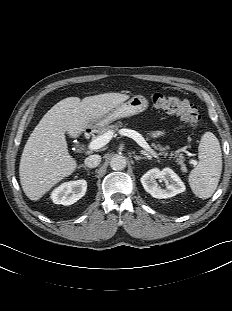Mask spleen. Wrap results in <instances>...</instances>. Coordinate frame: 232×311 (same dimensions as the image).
Segmentation results:
<instances>
[{"label":"spleen","instance_id":"obj_1","mask_svg":"<svg viewBox=\"0 0 232 311\" xmlns=\"http://www.w3.org/2000/svg\"><path fill=\"white\" fill-rule=\"evenodd\" d=\"M221 172L220 143L212 132H205L199 144V163L188 177L193 193L202 199L211 197L218 186Z\"/></svg>","mask_w":232,"mask_h":311}]
</instances>
